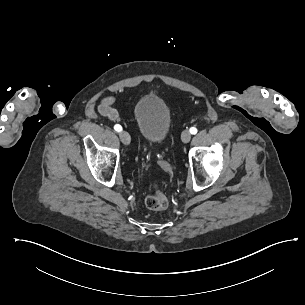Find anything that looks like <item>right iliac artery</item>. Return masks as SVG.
<instances>
[{
	"instance_id": "right-iliac-artery-1",
	"label": "right iliac artery",
	"mask_w": 305,
	"mask_h": 305,
	"mask_svg": "<svg viewBox=\"0 0 305 305\" xmlns=\"http://www.w3.org/2000/svg\"><path fill=\"white\" fill-rule=\"evenodd\" d=\"M114 129H115L117 132L122 131V127H121V125H119V124H116V125L114 126Z\"/></svg>"
}]
</instances>
